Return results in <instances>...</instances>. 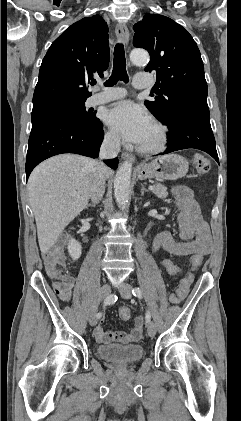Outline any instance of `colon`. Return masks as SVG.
<instances>
[{
    "label": "colon",
    "instance_id": "colon-1",
    "mask_svg": "<svg viewBox=\"0 0 241 421\" xmlns=\"http://www.w3.org/2000/svg\"><path fill=\"white\" fill-rule=\"evenodd\" d=\"M194 164L197 172L201 175L207 174L210 171V161L203 155H195ZM43 259L47 274L58 281L55 284L56 291L59 287L70 283L72 279L66 274L65 256L61 248H50L43 254ZM202 262V255H194L190 258L189 264L191 271L181 279L174 293L178 300H182L187 296L193 283V273L201 266ZM160 267L170 275H176L181 272L179 265L169 259L162 260ZM119 316L123 320H128L130 318V309L128 307H121Z\"/></svg>",
    "mask_w": 241,
    "mask_h": 421
}]
</instances>
